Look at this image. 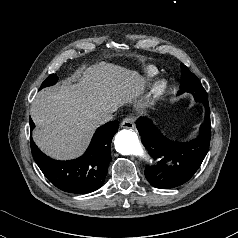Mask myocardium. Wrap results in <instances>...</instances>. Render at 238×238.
Instances as JSON below:
<instances>
[{"instance_id": "obj_1", "label": "myocardium", "mask_w": 238, "mask_h": 238, "mask_svg": "<svg viewBox=\"0 0 238 238\" xmlns=\"http://www.w3.org/2000/svg\"><path fill=\"white\" fill-rule=\"evenodd\" d=\"M164 91V84L163 83H158L157 85H155V87L153 88L151 95L152 97H157L160 94H162V92Z\"/></svg>"}]
</instances>
